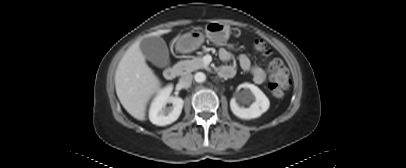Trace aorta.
Wrapping results in <instances>:
<instances>
[{"mask_svg":"<svg viewBox=\"0 0 406 168\" xmlns=\"http://www.w3.org/2000/svg\"><path fill=\"white\" fill-rule=\"evenodd\" d=\"M195 81L198 83H202L206 80V75L202 72H197L194 76Z\"/></svg>","mask_w":406,"mask_h":168,"instance_id":"aorta-1","label":"aorta"}]
</instances>
